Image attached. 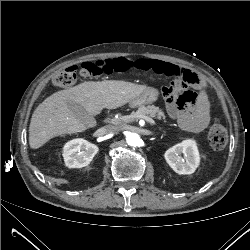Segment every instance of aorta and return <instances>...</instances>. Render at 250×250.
Segmentation results:
<instances>
[{"instance_id":"762f6f07","label":"aorta","mask_w":250,"mask_h":250,"mask_svg":"<svg viewBox=\"0 0 250 250\" xmlns=\"http://www.w3.org/2000/svg\"><path fill=\"white\" fill-rule=\"evenodd\" d=\"M127 144L136 147L140 144V136L136 133H129L126 137Z\"/></svg>"}]
</instances>
